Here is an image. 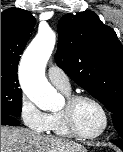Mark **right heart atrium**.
I'll return each mask as SVG.
<instances>
[{"label":"right heart atrium","instance_id":"d8ad5b80","mask_svg":"<svg viewBox=\"0 0 123 152\" xmlns=\"http://www.w3.org/2000/svg\"><path fill=\"white\" fill-rule=\"evenodd\" d=\"M19 115L27 128L40 133L48 131L49 114L41 111L25 94L20 99Z\"/></svg>","mask_w":123,"mask_h":152}]
</instances>
